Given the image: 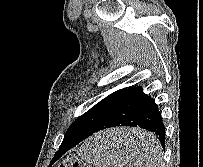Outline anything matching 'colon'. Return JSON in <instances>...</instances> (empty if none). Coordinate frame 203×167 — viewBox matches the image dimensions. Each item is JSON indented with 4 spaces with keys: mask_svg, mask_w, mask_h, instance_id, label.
Segmentation results:
<instances>
[{
    "mask_svg": "<svg viewBox=\"0 0 203 167\" xmlns=\"http://www.w3.org/2000/svg\"><path fill=\"white\" fill-rule=\"evenodd\" d=\"M59 167H90L85 163L77 160L76 158H69L66 163L60 165Z\"/></svg>",
    "mask_w": 203,
    "mask_h": 167,
    "instance_id": "colon-1",
    "label": "colon"
}]
</instances>
